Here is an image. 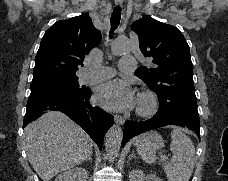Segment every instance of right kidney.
<instances>
[{"label":"right kidney","mask_w":228,"mask_h":181,"mask_svg":"<svg viewBox=\"0 0 228 181\" xmlns=\"http://www.w3.org/2000/svg\"><path fill=\"white\" fill-rule=\"evenodd\" d=\"M88 177L89 171H85L81 167H74V169H68V171L58 175L55 181H87Z\"/></svg>","instance_id":"ca27d5eb"}]
</instances>
